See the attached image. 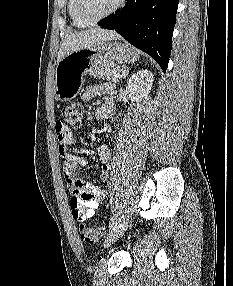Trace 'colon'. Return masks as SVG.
Wrapping results in <instances>:
<instances>
[{
	"label": "colon",
	"instance_id": "obj_1",
	"mask_svg": "<svg viewBox=\"0 0 233 286\" xmlns=\"http://www.w3.org/2000/svg\"><path fill=\"white\" fill-rule=\"evenodd\" d=\"M83 116L84 109L83 106L79 103L68 105L62 110V117L64 121L73 128H79L81 126ZM73 203L77 204L76 198L73 199ZM79 228L82 239L89 244L95 243L103 235V229L101 228L88 227L83 223L80 224Z\"/></svg>",
	"mask_w": 233,
	"mask_h": 286
}]
</instances>
